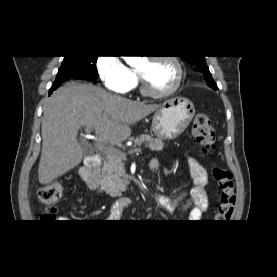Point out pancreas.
<instances>
[{"instance_id":"obj_1","label":"pancreas","mask_w":277,"mask_h":277,"mask_svg":"<svg viewBox=\"0 0 277 277\" xmlns=\"http://www.w3.org/2000/svg\"><path fill=\"white\" fill-rule=\"evenodd\" d=\"M133 142V147L145 143V145L152 151H161L164 148V143L161 139L153 138L147 134H142L139 137H136L133 139ZM125 159V153L116 152L108 157L100 170V184L103 190L112 196L120 195L126 190L127 185L129 184V176L126 174L123 162Z\"/></svg>"}]
</instances>
